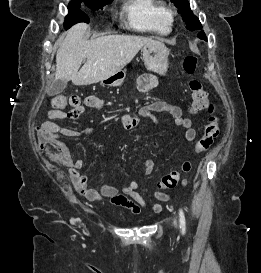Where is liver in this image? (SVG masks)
Masks as SVG:
<instances>
[{
    "mask_svg": "<svg viewBox=\"0 0 261 273\" xmlns=\"http://www.w3.org/2000/svg\"><path fill=\"white\" fill-rule=\"evenodd\" d=\"M87 30L88 25L80 23L68 31L56 53V79L72 81L76 86L103 81L122 70L145 44L153 41L131 35H109L87 40Z\"/></svg>",
    "mask_w": 261,
    "mask_h": 273,
    "instance_id": "liver-1",
    "label": "liver"
}]
</instances>
